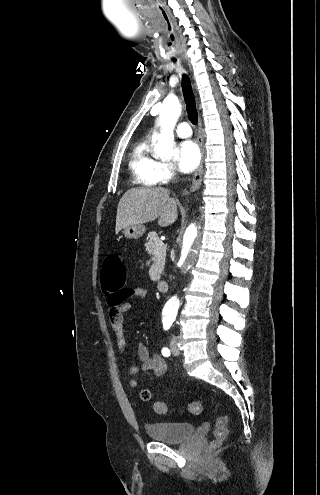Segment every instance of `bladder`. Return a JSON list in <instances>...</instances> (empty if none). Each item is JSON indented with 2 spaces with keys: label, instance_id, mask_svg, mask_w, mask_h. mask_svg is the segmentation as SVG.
Listing matches in <instances>:
<instances>
[{
  "label": "bladder",
  "instance_id": "bladder-1",
  "mask_svg": "<svg viewBox=\"0 0 320 495\" xmlns=\"http://www.w3.org/2000/svg\"><path fill=\"white\" fill-rule=\"evenodd\" d=\"M147 434L154 440L176 444L189 438L195 432L190 422H154L146 425Z\"/></svg>",
  "mask_w": 320,
  "mask_h": 495
}]
</instances>
